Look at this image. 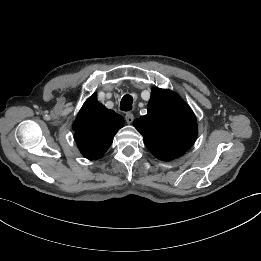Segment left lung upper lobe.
I'll list each match as a JSON object with an SVG mask.
<instances>
[{"instance_id":"1","label":"left lung upper lobe","mask_w":261,"mask_h":261,"mask_svg":"<svg viewBox=\"0 0 261 261\" xmlns=\"http://www.w3.org/2000/svg\"><path fill=\"white\" fill-rule=\"evenodd\" d=\"M143 135L145 145L160 160L182 156L197 137L196 117L191 108L174 92L153 89L148 113L133 122Z\"/></svg>"}]
</instances>
